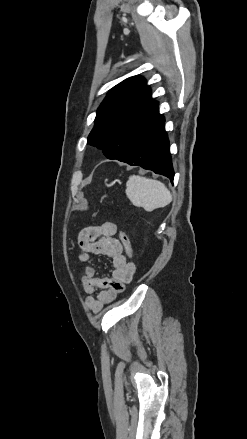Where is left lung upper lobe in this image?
Here are the masks:
<instances>
[{
  "mask_svg": "<svg viewBox=\"0 0 247 439\" xmlns=\"http://www.w3.org/2000/svg\"><path fill=\"white\" fill-rule=\"evenodd\" d=\"M158 112V102L140 76L130 77L110 90L97 110L90 145L109 159L122 161L142 127Z\"/></svg>",
  "mask_w": 247,
  "mask_h": 439,
  "instance_id": "1",
  "label": "left lung upper lobe"
}]
</instances>
